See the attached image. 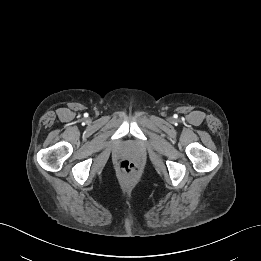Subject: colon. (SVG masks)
<instances>
[{"label":"colon","instance_id":"obj_1","mask_svg":"<svg viewBox=\"0 0 261 261\" xmlns=\"http://www.w3.org/2000/svg\"><path fill=\"white\" fill-rule=\"evenodd\" d=\"M119 170L121 175L126 178H134L139 173V168L128 160H124L120 163Z\"/></svg>","mask_w":261,"mask_h":261}]
</instances>
